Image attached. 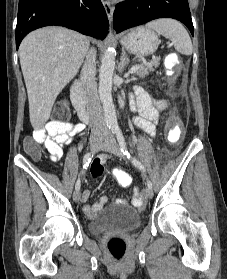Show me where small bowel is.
I'll list each match as a JSON object with an SVG mask.
<instances>
[{"mask_svg":"<svg viewBox=\"0 0 227 279\" xmlns=\"http://www.w3.org/2000/svg\"><path fill=\"white\" fill-rule=\"evenodd\" d=\"M136 103L132 101V110L137 111L138 115L134 118L137 126L143 129L148 134L154 136L156 124L159 120L161 111L166 110L170 106L167 99H155L145 92L142 88H136ZM83 130V125L80 123L68 122L64 127L57 123L51 122L36 130L32 137L27 141H36L44 145L50 155L52 161L60 159L63 155V147L70 144L73 136ZM104 157L99 158V162H103ZM116 170H114L115 172ZM101 174H93V182H97L98 176ZM90 197V192L85 190L82 193V200L86 202ZM107 202L106 197H102L99 202L94 204H86L83 207V212L87 215L98 211Z\"/></svg>","mask_w":227,"mask_h":279,"instance_id":"obj_1","label":"small bowel"}]
</instances>
